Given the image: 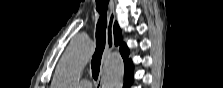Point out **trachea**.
<instances>
[{
  "mask_svg": "<svg viewBox=\"0 0 223 88\" xmlns=\"http://www.w3.org/2000/svg\"><path fill=\"white\" fill-rule=\"evenodd\" d=\"M108 3H109L108 0H96V10L100 14V18L98 20L96 27L97 47L91 60L92 76L95 80H97L99 75L101 58L105 48L106 26H107L106 13H107Z\"/></svg>",
  "mask_w": 223,
  "mask_h": 88,
  "instance_id": "obj_1",
  "label": "trachea"
}]
</instances>
